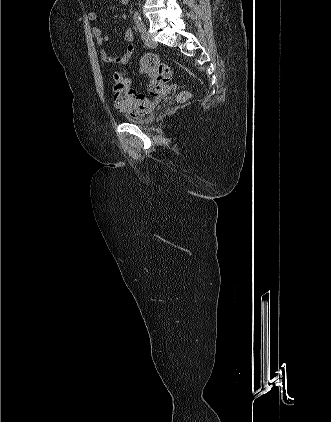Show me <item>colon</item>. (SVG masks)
<instances>
[{
	"instance_id": "1",
	"label": "colon",
	"mask_w": 331,
	"mask_h": 422,
	"mask_svg": "<svg viewBox=\"0 0 331 422\" xmlns=\"http://www.w3.org/2000/svg\"><path fill=\"white\" fill-rule=\"evenodd\" d=\"M139 70L150 78L148 84L150 94L155 98H160L166 92L171 80L169 65L161 62L154 54H145L141 58ZM113 90L114 104L118 111L129 113L132 116H142L154 107V102L130 87L128 78L121 72L114 75ZM187 98L188 94L180 96L181 100Z\"/></svg>"
}]
</instances>
